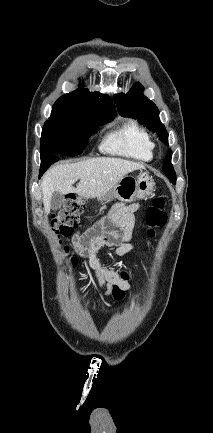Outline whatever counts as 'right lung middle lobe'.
Masks as SVG:
<instances>
[{"label":"right lung middle lobe","instance_id":"1","mask_svg":"<svg viewBox=\"0 0 213 433\" xmlns=\"http://www.w3.org/2000/svg\"><path fill=\"white\" fill-rule=\"evenodd\" d=\"M107 120H94L70 110L54 108L44 124L41 136V159L51 155L76 156L87 146V139L97 125Z\"/></svg>","mask_w":213,"mask_h":433}]
</instances>
